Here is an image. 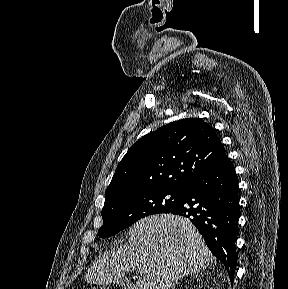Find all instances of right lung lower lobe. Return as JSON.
<instances>
[{
  "mask_svg": "<svg viewBox=\"0 0 288 289\" xmlns=\"http://www.w3.org/2000/svg\"><path fill=\"white\" fill-rule=\"evenodd\" d=\"M238 190L234 167L225 154L183 187L181 202L168 212L191 220L211 252L224 264L231 282L237 262Z\"/></svg>",
  "mask_w": 288,
  "mask_h": 289,
  "instance_id": "right-lung-lower-lobe-1",
  "label": "right lung lower lobe"
}]
</instances>
